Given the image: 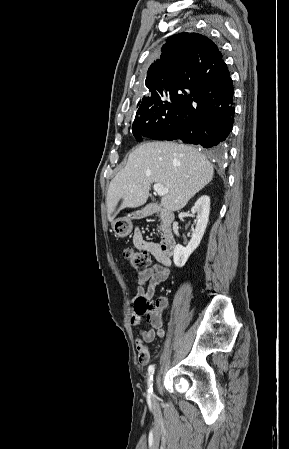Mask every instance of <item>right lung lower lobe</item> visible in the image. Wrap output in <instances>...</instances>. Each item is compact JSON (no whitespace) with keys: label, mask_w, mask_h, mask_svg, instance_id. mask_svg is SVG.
I'll return each instance as SVG.
<instances>
[{"label":"right lung lower lobe","mask_w":289,"mask_h":449,"mask_svg":"<svg viewBox=\"0 0 289 449\" xmlns=\"http://www.w3.org/2000/svg\"><path fill=\"white\" fill-rule=\"evenodd\" d=\"M177 114L173 122L153 136L200 144L213 153L224 150L234 121V87L227 65L205 81L179 85Z\"/></svg>","instance_id":"98d812e1"}]
</instances>
